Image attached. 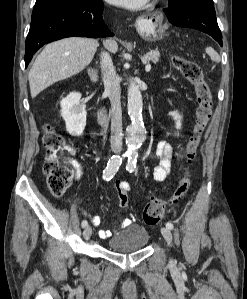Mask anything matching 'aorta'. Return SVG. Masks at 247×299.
<instances>
[{"instance_id":"obj_1","label":"aorta","mask_w":247,"mask_h":299,"mask_svg":"<svg viewBox=\"0 0 247 299\" xmlns=\"http://www.w3.org/2000/svg\"><path fill=\"white\" fill-rule=\"evenodd\" d=\"M143 100L140 88L131 83L128 87L127 110L131 123L126 128V144L128 153L136 155L139 147L145 140V126L142 116Z\"/></svg>"}]
</instances>
